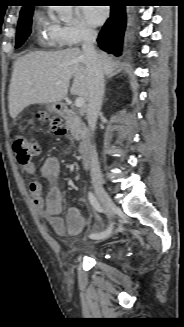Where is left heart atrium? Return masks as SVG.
<instances>
[{
  "label": "left heart atrium",
  "instance_id": "obj_1",
  "mask_svg": "<svg viewBox=\"0 0 184 327\" xmlns=\"http://www.w3.org/2000/svg\"><path fill=\"white\" fill-rule=\"evenodd\" d=\"M107 8L100 6H87L83 8L84 18L93 26H98L107 17Z\"/></svg>",
  "mask_w": 184,
  "mask_h": 327
}]
</instances>
